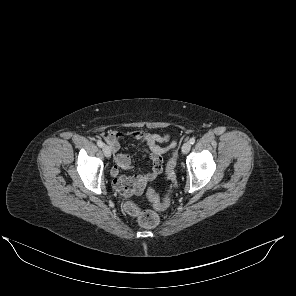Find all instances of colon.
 <instances>
[{
  "instance_id": "obj_1",
  "label": "colon",
  "mask_w": 296,
  "mask_h": 296,
  "mask_svg": "<svg viewBox=\"0 0 296 296\" xmlns=\"http://www.w3.org/2000/svg\"><path fill=\"white\" fill-rule=\"evenodd\" d=\"M176 165V156L174 155L168 163L166 174L168 177H172L174 174V168ZM148 199L152 203L155 209L162 210L167 207L168 200H160L156 193L149 189L147 192ZM125 210L128 214L137 218L138 223L146 228H153L159 223V216L156 212L151 210H141L134 203L128 202L125 204Z\"/></svg>"
}]
</instances>
